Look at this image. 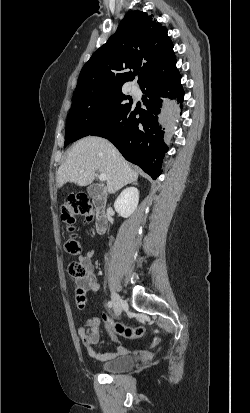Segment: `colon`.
<instances>
[{
  "instance_id": "1",
  "label": "colon",
  "mask_w": 250,
  "mask_h": 413,
  "mask_svg": "<svg viewBox=\"0 0 250 413\" xmlns=\"http://www.w3.org/2000/svg\"><path fill=\"white\" fill-rule=\"evenodd\" d=\"M76 216H83L87 220L93 218V209L86 198L83 195L72 196L64 203L61 209V220L65 224L66 229L70 233L65 242V251L71 255H78L81 252V245L77 235L74 233L75 230V219ZM70 274L75 278H82L85 276L86 272L82 265L79 263H72L70 265ZM86 301L85 292L83 289H79L77 292V302L80 306L84 305ZM106 323H108L112 330L121 336L126 338H137L140 336H145L147 333L146 328L142 322H137L135 327L127 326L119 322L110 320L108 317L103 316ZM158 344L157 338H152L150 343V348H155ZM144 350L147 348L144 347Z\"/></svg>"
}]
</instances>
